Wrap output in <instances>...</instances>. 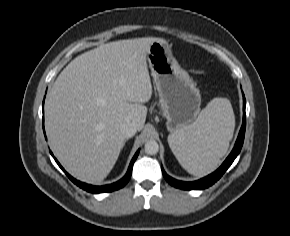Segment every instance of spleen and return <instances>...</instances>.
<instances>
[{
	"mask_svg": "<svg viewBox=\"0 0 290 236\" xmlns=\"http://www.w3.org/2000/svg\"><path fill=\"white\" fill-rule=\"evenodd\" d=\"M235 127L231 103L214 98L186 128L168 136L169 146L181 166L190 174L213 172L226 154Z\"/></svg>",
	"mask_w": 290,
	"mask_h": 236,
	"instance_id": "3e777b00",
	"label": "spleen"
}]
</instances>
